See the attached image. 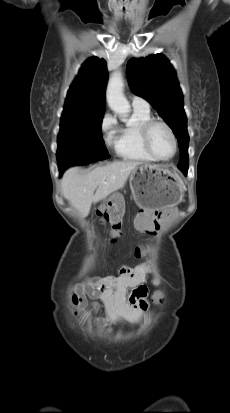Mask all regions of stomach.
I'll list each match as a JSON object with an SVG mask.
<instances>
[{
    "instance_id": "stomach-1",
    "label": "stomach",
    "mask_w": 230,
    "mask_h": 413,
    "mask_svg": "<svg viewBox=\"0 0 230 413\" xmlns=\"http://www.w3.org/2000/svg\"><path fill=\"white\" fill-rule=\"evenodd\" d=\"M130 188L142 209H164L166 205H177L183 197L181 180L163 165L136 167L130 176Z\"/></svg>"
}]
</instances>
